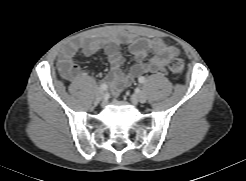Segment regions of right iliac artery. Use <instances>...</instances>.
<instances>
[{
	"mask_svg": "<svg viewBox=\"0 0 246 181\" xmlns=\"http://www.w3.org/2000/svg\"><path fill=\"white\" fill-rule=\"evenodd\" d=\"M100 89H101L102 91L107 90V85H106L105 83H102V84L100 85Z\"/></svg>",
	"mask_w": 246,
	"mask_h": 181,
	"instance_id": "82829eb1",
	"label": "right iliac artery"
}]
</instances>
